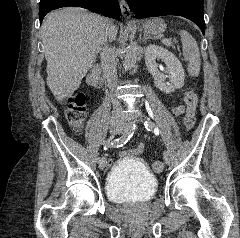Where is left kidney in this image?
<instances>
[{
    "label": "left kidney",
    "instance_id": "1",
    "mask_svg": "<svg viewBox=\"0 0 240 238\" xmlns=\"http://www.w3.org/2000/svg\"><path fill=\"white\" fill-rule=\"evenodd\" d=\"M156 59H161L165 63L167 73L170 75V83L166 82V77L158 71ZM145 63L154 78L156 87L161 91L170 93L183 87L185 74L182 64L170 51L161 46L150 44L145 49Z\"/></svg>",
    "mask_w": 240,
    "mask_h": 238
}]
</instances>
